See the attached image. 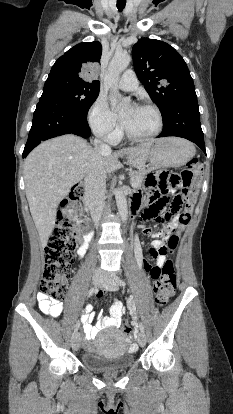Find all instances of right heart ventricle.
Segmentation results:
<instances>
[{"mask_svg":"<svg viewBox=\"0 0 233 414\" xmlns=\"http://www.w3.org/2000/svg\"><path fill=\"white\" fill-rule=\"evenodd\" d=\"M120 139V133L118 134L117 138L115 141H118Z\"/></svg>","mask_w":233,"mask_h":414,"instance_id":"right-heart-ventricle-1","label":"right heart ventricle"}]
</instances>
